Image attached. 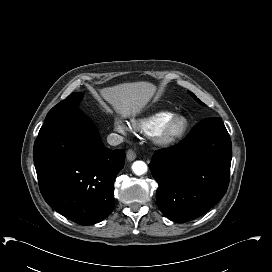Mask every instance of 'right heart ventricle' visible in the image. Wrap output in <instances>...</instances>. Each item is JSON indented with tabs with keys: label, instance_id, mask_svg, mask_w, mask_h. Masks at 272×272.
<instances>
[{
	"label": "right heart ventricle",
	"instance_id": "obj_1",
	"mask_svg": "<svg viewBox=\"0 0 272 272\" xmlns=\"http://www.w3.org/2000/svg\"><path fill=\"white\" fill-rule=\"evenodd\" d=\"M174 114L171 112H160L150 118L134 123V127L148 136L156 134Z\"/></svg>",
	"mask_w": 272,
	"mask_h": 272
}]
</instances>
